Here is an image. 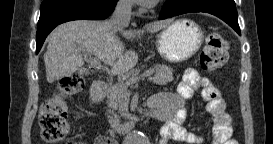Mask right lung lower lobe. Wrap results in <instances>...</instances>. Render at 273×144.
<instances>
[{"label":"right lung lower lobe","mask_w":273,"mask_h":144,"mask_svg":"<svg viewBox=\"0 0 273 144\" xmlns=\"http://www.w3.org/2000/svg\"><path fill=\"white\" fill-rule=\"evenodd\" d=\"M118 0H44L36 34V53L47 35L59 24L78 19L100 20L107 18Z\"/></svg>","instance_id":"obj_1"}]
</instances>
